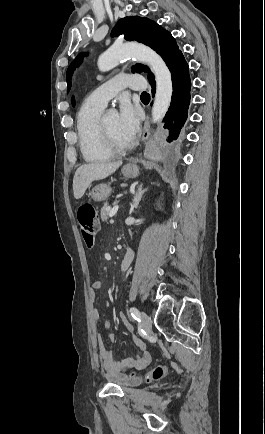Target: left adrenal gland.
<instances>
[{
  "label": "left adrenal gland",
  "instance_id": "obj_1",
  "mask_svg": "<svg viewBox=\"0 0 265 434\" xmlns=\"http://www.w3.org/2000/svg\"><path fill=\"white\" fill-rule=\"evenodd\" d=\"M142 186H143V184H140V186H138V190L134 196V200H133L132 204H130V206H131L130 212H133L134 208H138L139 202H140L143 194H145V192H147V188H146V190H143Z\"/></svg>",
  "mask_w": 265,
  "mask_h": 434
}]
</instances>
